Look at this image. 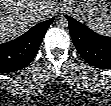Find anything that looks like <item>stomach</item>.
Here are the masks:
<instances>
[{"label":"stomach","mask_w":111,"mask_h":106,"mask_svg":"<svg viewBox=\"0 0 111 106\" xmlns=\"http://www.w3.org/2000/svg\"><path fill=\"white\" fill-rule=\"evenodd\" d=\"M70 7L74 11L80 12L83 16V19L90 23L91 19L95 17L103 18L106 16L108 2L105 0L71 1Z\"/></svg>","instance_id":"stomach-1"}]
</instances>
